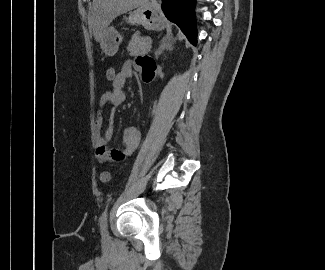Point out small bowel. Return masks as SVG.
Here are the masks:
<instances>
[{
	"label": "small bowel",
	"mask_w": 325,
	"mask_h": 270,
	"mask_svg": "<svg viewBox=\"0 0 325 270\" xmlns=\"http://www.w3.org/2000/svg\"><path fill=\"white\" fill-rule=\"evenodd\" d=\"M136 70L140 73L144 81L152 80L157 71L155 60L147 55H141L136 58ZM118 82L112 86L111 90L104 92L100 98V112L94 122L95 132V155L100 162L106 161H122L130 156L138 146L140 140V132L135 126H128L123 131L122 141L124 148L108 150L106 148L107 142L113 136L112 121L104 131V116L102 110L106 106H111L113 113L114 109L122 105L126 101L124 93V85L126 81L134 75L133 64L131 61H126L122 67L117 71Z\"/></svg>",
	"instance_id": "small-bowel-1"
}]
</instances>
